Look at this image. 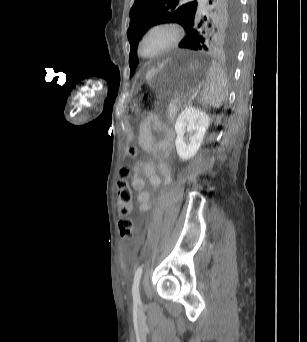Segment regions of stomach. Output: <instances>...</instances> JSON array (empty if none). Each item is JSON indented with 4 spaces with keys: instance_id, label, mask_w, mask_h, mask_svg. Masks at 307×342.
I'll return each instance as SVG.
<instances>
[{
    "instance_id": "0dacf381",
    "label": "stomach",
    "mask_w": 307,
    "mask_h": 342,
    "mask_svg": "<svg viewBox=\"0 0 307 342\" xmlns=\"http://www.w3.org/2000/svg\"><path fill=\"white\" fill-rule=\"evenodd\" d=\"M165 74L164 69H160L157 72H155L149 79L148 83L151 86H155L157 84V81Z\"/></svg>"
}]
</instances>
